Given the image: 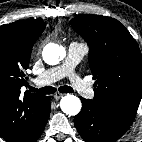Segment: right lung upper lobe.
<instances>
[{
  "label": "right lung upper lobe",
  "instance_id": "right-lung-upper-lobe-1",
  "mask_svg": "<svg viewBox=\"0 0 142 142\" xmlns=\"http://www.w3.org/2000/svg\"><path fill=\"white\" fill-rule=\"evenodd\" d=\"M45 26L38 19L0 26V136L7 142L24 140L46 108V96L20 91L28 85L24 71Z\"/></svg>",
  "mask_w": 142,
  "mask_h": 142
}]
</instances>
